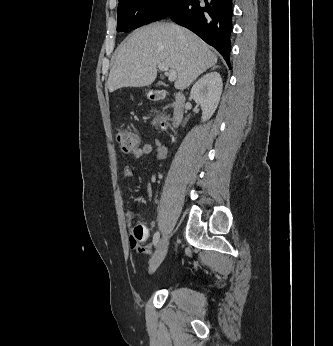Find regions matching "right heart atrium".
<instances>
[{
  "label": "right heart atrium",
  "instance_id": "d8ad5b80",
  "mask_svg": "<svg viewBox=\"0 0 333 346\" xmlns=\"http://www.w3.org/2000/svg\"><path fill=\"white\" fill-rule=\"evenodd\" d=\"M149 2H151V3H152V2H153V0H149Z\"/></svg>",
  "mask_w": 333,
  "mask_h": 346
}]
</instances>
